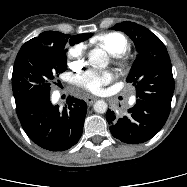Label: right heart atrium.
Masks as SVG:
<instances>
[{
  "instance_id": "right-heart-atrium-1",
  "label": "right heart atrium",
  "mask_w": 187,
  "mask_h": 187,
  "mask_svg": "<svg viewBox=\"0 0 187 187\" xmlns=\"http://www.w3.org/2000/svg\"><path fill=\"white\" fill-rule=\"evenodd\" d=\"M85 46L83 44L76 45L69 52V60L73 67H80L83 64Z\"/></svg>"
}]
</instances>
